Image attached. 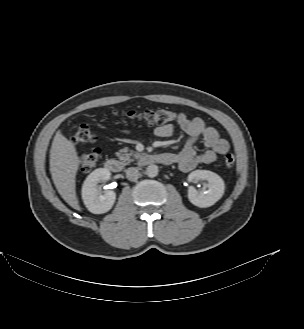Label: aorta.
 <instances>
[{
	"instance_id": "aorta-1",
	"label": "aorta",
	"mask_w": 304,
	"mask_h": 329,
	"mask_svg": "<svg viewBox=\"0 0 304 329\" xmlns=\"http://www.w3.org/2000/svg\"><path fill=\"white\" fill-rule=\"evenodd\" d=\"M158 166L155 164H150L147 168H146V175L150 178H154L158 175Z\"/></svg>"
}]
</instances>
